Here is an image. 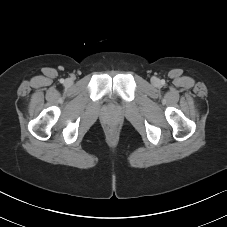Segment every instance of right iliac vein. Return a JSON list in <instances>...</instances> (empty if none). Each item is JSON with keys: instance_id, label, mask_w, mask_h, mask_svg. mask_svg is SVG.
Here are the masks:
<instances>
[{"instance_id": "obj_1", "label": "right iliac vein", "mask_w": 227, "mask_h": 227, "mask_svg": "<svg viewBox=\"0 0 227 227\" xmlns=\"http://www.w3.org/2000/svg\"><path fill=\"white\" fill-rule=\"evenodd\" d=\"M72 80L71 79H67L66 81H65V84L67 85V86H70L71 84H72Z\"/></svg>"}]
</instances>
